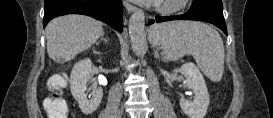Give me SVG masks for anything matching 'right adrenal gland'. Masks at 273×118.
<instances>
[{"instance_id":"right-adrenal-gland-1","label":"right adrenal gland","mask_w":273,"mask_h":118,"mask_svg":"<svg viewBox=\"0 0 273 118\" xmlns=\"http://www.w3.org/2000/svg\"><path fill=\"white\" fill-rule=\"evenodd\" d=\"M101 41H104L105 43H107V40L104 38V32H103L102 35H101V39L97 42V45H99V43H100Z\"/></svg>"}]
</instances>
